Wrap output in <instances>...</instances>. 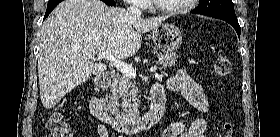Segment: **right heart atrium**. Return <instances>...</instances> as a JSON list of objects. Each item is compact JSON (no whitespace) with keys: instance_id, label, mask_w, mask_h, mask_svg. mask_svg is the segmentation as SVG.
I'll list each match as a JSON object with an SVG mask.
<instances>
[{"instance_id":"d8ad5b80","label":"right heart atrium","mask_w":280,"mask_h":137,"mask_svg":"<svg viewBox=\"0 0 280 137\" xmlns=\"http://www.w3.org/2000/svg\"><path fill=\"white\" fill-rule=\"evenodd\" d=\"M130 4L133 8L144 10L147 7L146 0H130Z\"/></svg>"}]
</instances>
